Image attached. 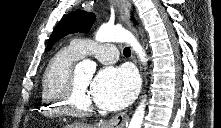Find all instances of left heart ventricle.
I'll return each instance as SVG.
<instances>
[{"instance_id":"obj_1","label":"left heart ventricle","mask_w":221,"mask_h":128,"mask_svg":"<svg viewBox=\"0 0 221 128\" xmlns=\"http://www.w3.org/2000/svg\"><path fill=\"white\" fill-rule=\"evenodd\" d=\"M76 82H77V87H78V90H79V96H80L81 102L89 101V102L92 103V101H91V99L88 95V92H87L89 79L76 76Z\"/></svg>"}]
</instances>
